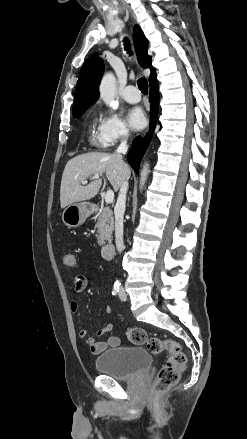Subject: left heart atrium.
I'll return each mask as SVG.
<instances>
[{
    "label": "left heart atrium",
    "instance_id": "1",
    "mask_svg": "<svg viewBox=\"0 0 247 439\" xmlns=\"http://www.w3.org/2000/svg\"><path fill=\"white\" fill-rule=\"evenodd\" d=\"M127 121L129 125L136 130L142 129L146 125L145 114L139 107H133L128 111Z\"/></svg>",
    "mask_w": 247,
    "mask_h": 439
}]
</instances>
